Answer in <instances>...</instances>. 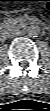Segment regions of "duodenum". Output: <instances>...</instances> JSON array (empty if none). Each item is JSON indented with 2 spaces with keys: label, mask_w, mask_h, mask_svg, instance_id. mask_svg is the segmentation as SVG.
<instances>
[{
  "label": "duodenum",
  "mask_w": 50,
  "mask_h": 111,
  "mask_svg": "<svg viewBox=\"0 0 50 111\" xmlns=\"http://www.w3.org/2000/svg\"><path fill=\"white\" fill-rule=\"evenodd\" d=\"M37 24H40V23L37 22ZM29 25H35V23L33 21H29Z\"/></svg>",
  "instance_id": "410a0bca"
}]
</instances>
